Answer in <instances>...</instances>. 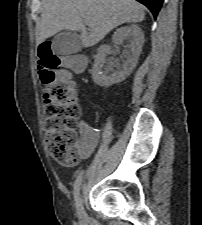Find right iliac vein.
<instances>
[{
    "label": "right iliac vein",
    "instance_id": "obj_1",
    "mask_svg": "<svg viewBox=\"0 0 202 225\" xmlns=\"http://www.w3.org/2000/svg\"><path fill=\"white\" fill-rule=\"evenodd\" d=\"M76 211L77 215L80 220H85L86 219V212L83 207V200L81 198V195L79 194L76 200Z\"/></svg>",
    "mask_w": 202,
    "mask_h": 225
}]
</instances>
